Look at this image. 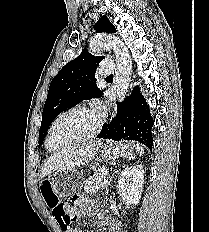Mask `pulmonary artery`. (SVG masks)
<instances>
[{
	"mask_svg": "<svg viewBox=\"0 0 209 232\" xmlns=\"http://www.w3.org/2000/svg\"><path fill=\"white\" fill-rule=\"evenodd\" d=\"M113 70H114V65L109 60H105V61L101 62L100 66H99V73L101 75H109L113 72Z\"/></svg>",
	"mask_w": 209,
	"mask_h": 232,
	"instance_id": "1",
	"label": "pulmonary artery"
}]
</instances>
